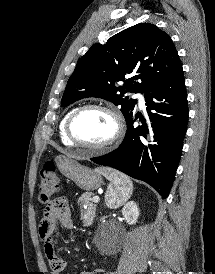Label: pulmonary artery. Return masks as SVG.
<instances>
[{"label": "pulmonary artery", "mask_w": 215, "mask_h": 274, "mask_svg": "<svg viewBox=\"0 0 215 274\" xmlns=\"http://www.w3.org/2000/svg\"><path fill=\"white\" fill-rule=\"evenodd\" d=\"M135 96L138 99L139 106L141 108H144L145 107V98H144L143 94L137 93Z\"/></svg>", "instance_id": "1"}]
</instances>
